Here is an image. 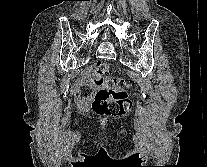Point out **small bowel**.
Here are the masks:
<instances>
[{"instance_id":"small-bowel-1","label":"small bowel","mask_w":207,"mask_h":167,"mask_svg":"<svg viewBox=\"0 0 207 167\" xmlns=\"http://www.w3.org/2000/svg\"><path fill=\"white\" fill-rule=\"evenodd\" d=\"M84 87H89L90 92L81 97V90ZM95 92V86L91 82L89 73H85L79 77L71 88L70 94L75 104L82 110H87L90 107Z\"/></svg>"}]
</instances>
